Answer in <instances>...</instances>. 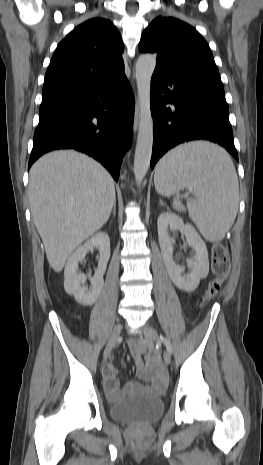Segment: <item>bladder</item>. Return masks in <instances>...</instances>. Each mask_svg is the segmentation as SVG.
I'll use <instances>...</instances> for the list:
<instances>
[{
    "label": "bladder",
    "instance_id": "obj_1",
    "mask_svg": "<svg viewBox=\"0 0 263 465\" xmlns=\"http://www.w3.org/2000/svg\"><path fill=\"white\" fill-rule=\"evenodd\" d=\"M163 410L164 402L159 396L137 393L113 403L110 415L120 422L148 424L157 421Z\"/></svg>",
    "mask_w": 263,
    "mask_h": 465
}]
</instances>
